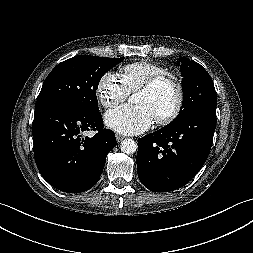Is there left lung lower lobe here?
<instances>
[{
    "label": "left lung lower lobe",
    "instance_id": "0a47b994",
    "mask_svg": "<svg viewBox=\"0 0 253 253\" xmlns=\"http://www.w3.org/2000/svg\"><path fill=\"white\" fill-rule=\"evenodd\" d=\"M215 128L216 112L201 110L140 138L136 162L141 183L154 192L187 184L206 161Z\"/></svg>",
    "mask_w": 253,
    "mask_h": 253
}]
</instances>
